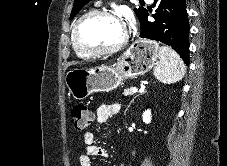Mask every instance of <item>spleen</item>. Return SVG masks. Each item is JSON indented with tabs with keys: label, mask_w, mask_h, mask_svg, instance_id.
<instances>
[{
	"label": "spleen",
	"mask_w": 227,
	"mask_h": 166,
	"mask_svg": "<svg viewBox=\"0 0 227 166\" xmlns=\"http://www.w3.org/2000/svg\"><path fill=\"white\" fill-rule=\"evenodd\" d=\"M186 73V67L180 56L168 46L159 49V61L154 68V76L165 84L180 81Z\"/></svg>",
	"instance_id": "3e777b00"
}]
</instances>
